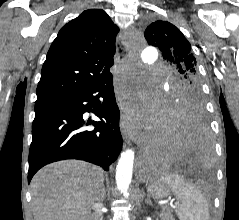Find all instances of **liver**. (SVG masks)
Listing matches in <instances>:
<instances>
[{"label": "liver", "instance_id": "obj_1", "mask_svg": "<svg viewBox=\"0 0 239 220\" xmlns=\"http://www.w3.org/2000/svg\"><path fill=\"white\" fill-rule=\"evenodd\" d=\"M103 181V170L83 161L45 166L31 182L34 220H88Z\"/></svg>", "mask_w": 239, "mask_h": 220}]
</instances>
